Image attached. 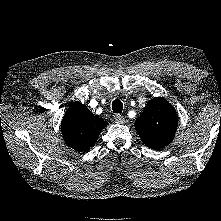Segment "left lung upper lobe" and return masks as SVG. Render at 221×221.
<instances>
[{
	"instance_id": "5c2ea615",
	"label": "left lung upper lobe",
	"mask_w": 221,
	"mask_h": 221,
	"mask_svg": "<svg viewBox=\"0 0 221 221\" xmlns=\"http://www.w3.org/2000/svg\"><path fill=\"white\" fill-rule=\"evenodd\" d=\"M178 126V116L171 104L161 97L150 100L135 122L142 142L159 150L170 144Z\"/></svg>"
}]
</instances>
